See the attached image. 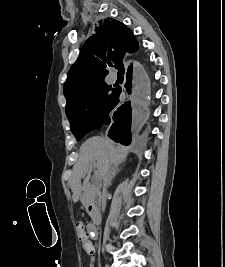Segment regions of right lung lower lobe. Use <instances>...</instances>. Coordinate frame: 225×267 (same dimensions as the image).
I'll return each instance as SVG.
<instances>
[{
	"mask_svg": "<svg viewBox=\"0 0 225 267\" xmlns=\"http://www.w3.org/2000/svg\"><path fill=\"white\" fill-rule=\"evenodd\" d=\"M138 49V45L130 52L133 53ZM126 72L127 74V81L125 84V88L127 93H131V83H132V75H134L133 78V88L132 91L135 93V95H138L140 99L144 102L145 100V88H146V81L143 80V82L139 81L135 76H136V70L132 71V64H129V62L126 61L125 63V68L122 73ZM118 91L115 97V100L109 110V113L118 105L119 103V96L122 92V89L120 87H117ZM121 105L117 111L114 112L113 116L112 114L105 117L102 125L105 124H110L112 121H115V123L112 124L108 136L113 139L116 142H120L122 144L128 145L131 142V131H130V121H131V106L130 104L126 105L124 108V121L122 122L120 120V113H121V107L124 106ZM101 125V126H102ZM100 126V127H101Z\"/></svg>",
	"mask_w": 225,
	"mask_h": 267,
	"instance_id": "obj_1",
	"label": "right lung lower lobe"
}]
</instances>
